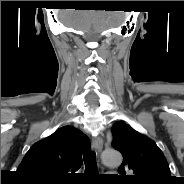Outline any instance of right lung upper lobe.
<instances>
[{
	"mask_svg": "<svg viewBox=\"0 0 184 184\" xmlns=\"http://www.w3.org/2000/svg\"><path fill=\"white\" fill-rule=\"evenodd\" d=\"M89 148L90 141L82 131L64 126L35 143L17 172L30 182L69 183L82 165V154Z\"/></svg>",
	"mask_w": 184,
	"mask_h": 184,
	"instance_id": "cb5924a9",
	"label": "right lung upper lobe"
}]
</instances>
